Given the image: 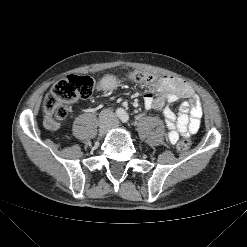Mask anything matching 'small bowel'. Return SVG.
I'll list each match as a JSON object with an SVG mask.
<instances>
[{
    "instance_id": "obj_1",
    "label": "small bowel",
    "mask_w": 247,
    "mask_h": 247,
    "mask_svg": "<svg viewBox=\"0 0 247 247\" xmlns=\"http://www.w3.org/2000/svg\"><path fill=\"white\" fill-rule=\"evenodd\" d=\"M179 98H187L188 101L182 103L175 113L171 105ZM144 107L147 110H162L168 128L167 137L172 144L180 137L195 134L201 124L202 107L199 98L187 83L178 78H164L155 86V92H147Z\"/></svg>"
}]
</instances>
